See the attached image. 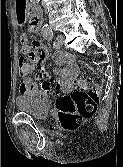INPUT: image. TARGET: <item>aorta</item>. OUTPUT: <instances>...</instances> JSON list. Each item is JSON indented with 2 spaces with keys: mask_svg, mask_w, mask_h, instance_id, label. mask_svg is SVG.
<instances>
[{
  "mask_svg": "<svg viewBox=\"0 0 123 167\" xmlns=\"http://www.w3.org/2000/svg\"><path fill=\"white\" fill-rule=\"evenodd\" d=\"M42 32L48 34V33L51 32V29H50V27L46 24V25H44V26L42 27Z\"/></svg>",
  "mask_w": 123,
  "mask_h": 167,
  "instance_id": "762f6f07",
  "label": "aorta"
}]
</instances>
